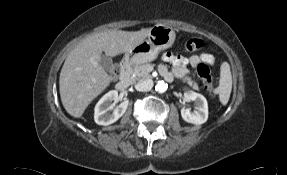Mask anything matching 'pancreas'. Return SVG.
Instances as JSON below:
<instances>
[{
  "mask_svg": "<svg viewBox=\"0 0 287 175\" xmlns=\"http://www.w3.org/2000/svg\"><path fill=\"white\" fill-rule=\"evenodd\" d=\"M150 66L149 63L137 65L131 70L132 80H141V79H148L151 77L148 71V67ZM183 82H187L189 86H191L193 89L198 90V85L195 81L191 79V77H185L183 78Z\"/></svg>",
  "mask_w": 287,
  "mask_h": 175,
  "instance_id": "obj_1",
  "label": "pancreas"
}]
</instances>
